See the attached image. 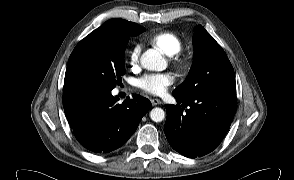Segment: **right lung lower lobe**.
I'll use <instances>...</instances> for the list:
<instances>
[{
  "mask_svg": "<svg viewBox=\"0 0 294 180\" xmlns=\"http://www.w3.org/2000/svg\"><path fill=\"white\" fill-rule=\"evenodd\" d=\"M111 90L88 88L63 93L65 115L81 145L96 153L111 152L127 142L151 102L133 95L122 104Z\"/></svg>",
  "mask_w": 294,
  "mask_h": 180,
  "instance_id": "obj_1",
  "label": "right lung lower lobe"
}]
</instances>
